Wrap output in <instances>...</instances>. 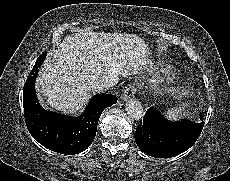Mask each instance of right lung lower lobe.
<instances>
[{
	"label": "right lung lower lobe",
	"instance_id": "right-lung-lower-lobe-1",
	"mask_svg": "<svg viewBox=\"0 0 230 181\" xmlns=\"http://www.w3.org/2000/svg\"><path fill=\"white\" fill-rule=\"evenodd\" d=\"M47 52L41 54L23 88L25 122L30 134L44 147L61 154H77L93 142L101 113L117 102L110 94L94 96L79 118L45 111L38 103L35 79Z\"/></svg>",
	"mask_w": 230,
	"mask_h": 181
}]
</instances>
